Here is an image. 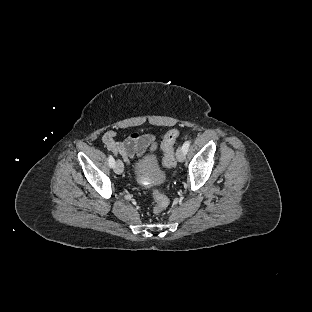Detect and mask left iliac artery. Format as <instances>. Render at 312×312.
I'll return each instance as SVG.
<instances>
[{"mask_svg": "<svg viewBox=\"0 0 312 312\" xmlns=\"http://www.w3.org/2000/svg\"><path fill=\"white\" fill-rule=\"evenodd\" d=\"M189 146H190V141H186L183 146H182V149L185 151V153L188 151L189 149Z\"/></svg>", "mask_w": 312, "mask_h": 312, "instance_id": "44dca946", "label": "left iliac artery"}]
</instances>
